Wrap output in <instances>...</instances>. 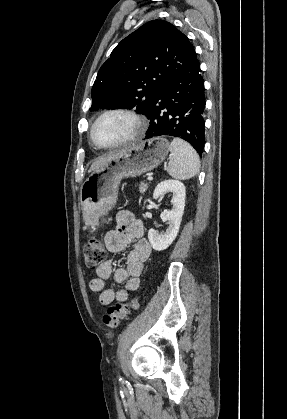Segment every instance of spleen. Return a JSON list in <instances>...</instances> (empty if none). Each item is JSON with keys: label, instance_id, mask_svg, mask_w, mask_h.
Here are the masks:
<instances>
[{"label": "spleen", "instance_id": "spleen-1", "mask_svg": "<svg viewBox=\"0 0 287 419\" xmlns=\"http://www.w3.org/2000/svg\"><path fill=\"white\" fill-rule=\"evenodd\" d=\"M170 152L167 172L171 177L188 180L199 172V156L189 143L175 138L170 144Z\"/></svg>", "mask_w": 287, "mask_h": 419}]
</instances>
